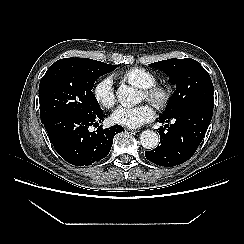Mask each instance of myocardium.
I'll return each instance as SVG.
<instances>
[{
	"instance_id": "1",
	"label": "myocardium",
	"mask_w": 244,
	"mask_h": 244,
	"mask_svg": "<svg viewBox=\"0 0 244 244\" xmlns=\"http://www.w3.org/2000/svg\"><path fill=\"white\" fill-rule=\"evenodd\" d=\"M144 98L156 108H163L170 97L169 90L163 85L154 84L153 86L143 89Z\"/></svg>"
}]
</instances>
